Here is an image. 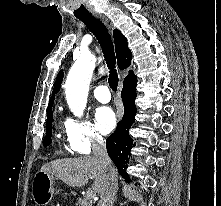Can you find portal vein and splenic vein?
Listing matches in <instances>:
<instances>
[{"label": "portal vein and splenic vein", "instance_id": "portal-vein-and-splenic-vein-1", "mask_svg": "<svg viewBox=\"0 0 221 206\" xmlns=\"http://www.w3.org/2000/svg\"><path fill=\"white\" fill-rule=\"evenodd\" d=\"M86 196H87V198L93 199V198H95V193L93 191H89Z\"/></svg>", "mask_w": 221, "mask_h": 206}]
</instances>
